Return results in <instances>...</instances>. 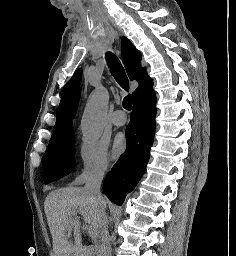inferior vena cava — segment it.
<instances>
[{
  "label": "inferior vena cava",
  "instance_id": "inferior-vena-cava-1",
  "mask_svg": "<svg viewBox=\"0 0 236 256\" xmlns=\"http://www.w3.org/2000/svg\"><path fill=\"white\" fill-rule=\"evenodd\" d=\"M105 170V166H96V168H91V170L88 172L87 182L83 188V192L87 194L88 198H91V200L96 202L99 212H104L103 206L105 204V200H103L100 194V186L104 178ZM100 232L102 240L101 256H111L112 250L107 226V218H104Z\"/></svg>",
  "mask_w": 236,
  "mask_h": 256
}]
</instances>
